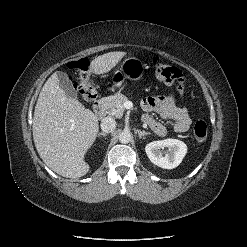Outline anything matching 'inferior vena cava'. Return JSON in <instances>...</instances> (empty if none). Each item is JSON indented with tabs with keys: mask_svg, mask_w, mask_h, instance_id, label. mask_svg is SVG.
<instances>
[{
	"mask_svg": "<svg viewBox=\"0 0 247 247\" xmlns=\"http://www.w3.org/2000/svg\"><path fill=\"white\" fill-rule=\"evenodd\" d=\"M116 128V121L111 117H105L101 121V129L105 133L113 132Z\"/></svg>",
	"mask_w": 247,
	"mask_h": 247,
	"instance_id": "602c4592",
	"label": "inferior vena cava"
}]
</instances>
